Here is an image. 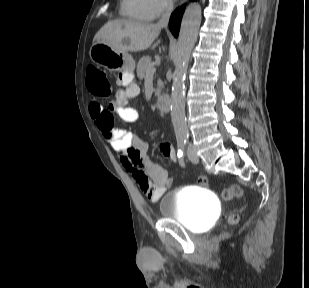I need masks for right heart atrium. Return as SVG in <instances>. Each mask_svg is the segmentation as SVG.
Returning <instances> with one entry per match:
<instances>
[{
  "label": "right heart atrium",
  "mask_w": 309,
  "mask_h": 288,
  "mask_svg": "<svg viewBox=\"0 0 309 288\" xmlns=\"http://www.w3.org/2000/svg\"><path fill=\"white\" fill-rule=\"evenodd\" d=\"M154 18L165 14L172 6L171 0H147Z\"/></svg>",
  "instance_id": "right-heart-atrium-1"
}]
</instances>
